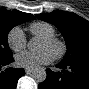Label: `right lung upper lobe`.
<instances>
[{"instance_id": "obj_1", "label": "right lung upper lobe", "mask_w": 89, "mask_h": 89, "mask_svg": "<svg viewBox=\"0 0 89 89\" xmlns=\"http://www.w3.org/2000/svg\"><path fill=\"white\" fill-rule=\"evenodd\" d=\"M0 13H7V14L17 16V17H19L23 20H26V22L35 19V17L32 14L23 13V12H20V11H17V10L7 11L5 9H0Z\"/></svg>"}]
</instances>
